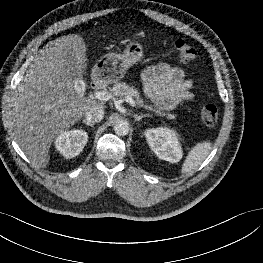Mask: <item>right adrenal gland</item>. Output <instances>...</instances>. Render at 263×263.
<instances>
[{
  "label": "right adrenal gland",
  "instance_id": "right-adrenal-gland-1",
  "mask_svg": "<svg viewBox=\"0 0 263 263\" xmlns=\"http://www.w3.org/2000/svg\"><path fill=\"white\" fill-rule=\"evenodd\" d=\"M82 122L85 124V125H87V126H90V127H94V124L93 123H89V122H87L85 119L84 120H82Z\"/></svg>",
  "mask_w": 263,
  "mask_h": 263
}]
</instances>
